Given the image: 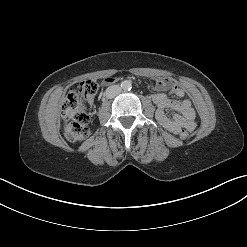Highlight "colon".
Returning <instances> with one entry per match:
<instances>
[{"mask_svg":"<svg viewBox=\"0 0 247 247\" xmlns=\"http://www.w3.org/2000/svg\"><path fill=\"white\" fill-rule=\"evenodd\" d=\"M98 90V83L94 80L82 81L77 89L71 90L61 104V114L64 120V134L71 142L82 141L89 135V117L82 107V99L93 97ZM190 131L183 129L181 138L186 139Z\"/></svg>","mask_w":247,"mask_h":247,"instance_id":"colon-1","label":"colon"}]
</instances>
